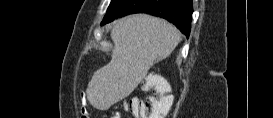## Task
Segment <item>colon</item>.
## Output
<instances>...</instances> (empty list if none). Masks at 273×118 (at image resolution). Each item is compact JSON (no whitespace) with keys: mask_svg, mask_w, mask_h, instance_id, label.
Wrapping results in <instances>:
<instances>
[{"mask_svg":"<svg viewBox=\"0 0 273 118\" xmlns=\"http://www.w3.org/2000/svg\"><path fill=\"white\" fill-rule=\"evenodd\" d=\"M148 88L154 90V94L145 98H132L125 104V110L131 111L137 118H162L166 115L173 103V97L167 94V83L161 82L154 87V81L150 78L145 82ZM87 118V114L83 115Z\"/></svg>","mask_w":273,"mask_h":118,"instance_id":"obj_1","label":"colon"}]
</instances>
